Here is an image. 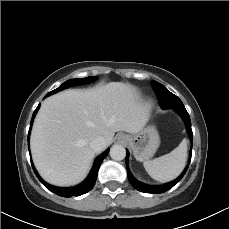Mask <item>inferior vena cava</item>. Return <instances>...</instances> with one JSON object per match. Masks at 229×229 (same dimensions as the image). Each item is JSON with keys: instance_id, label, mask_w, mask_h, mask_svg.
Here are the masks:
<instances>
[{"instance_id": "obj_1", "label": "inferior vena cava", "mask_w": 229, "mask_h": 229, "mask_svg": "<svg viewBox=\"0 0 229 229\" xmlns=\"http://www.w3.org/2000/svg\"><path fill=\"white\" fill-rule=\"evenodd\" d=\"M91 149L98 153L102 151L105 148V139L102 136H98L95 139H93L90 143Z\"/></svg>"}]
</instances>
